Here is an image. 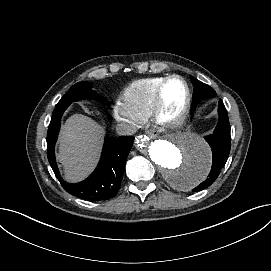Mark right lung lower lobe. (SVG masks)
<instances>
[{
  "label": "right lung lower lobe",
  "mask_w": 271,
  "mask_h": 271,
  "mask_svg": "<svg viewBox=\"0 0 271 271\" xmlns=\"http://www.w3.org/2000/svg\"><path fill=\"white\" fill-rule=\"evenodd\" d=\"M68 106L57 107L52 114L47 132V156L49 163L61 185L68 193L89 201L111 199L120 189L126 159L132 147L134 137H106L100 162L92 175L80 183H67L59 174L55 162L54 147L60 130L61 116Z\"/></svg>",
  "instance_id": "right-lung-lower-lobe-1"
}]
</instances>
